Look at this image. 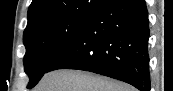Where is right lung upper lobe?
<instances>
[{"mask_svg":"<svg viewBox=\"0 0 173 91\" xmlns=\"http://www.w3.org/2000/svg\"><path fill=\"white\" fill-rule=\"evenodd\" d=\"M111 0H33L28 10V24L71 15L95 13ZM26 27V28H27Z\"/></svg>","mask_w":173,"mask_h":91,"instance_id":"1","label":"right lung upper lobe"}]
</instances>
